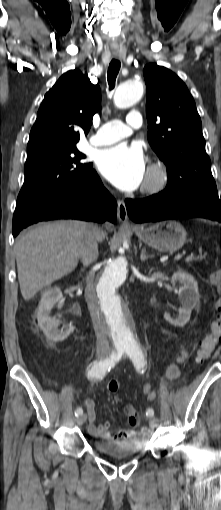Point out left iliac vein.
<instances>
[{"label": "left iliac vein", "mask_w": 221, "mask_h": 510, "mask_svg": "<svg viewBox=\"0 0 221 510\" xmlns=\"http://www.w3.org/2000/svg\"><path fill=\"white\" fill-rule=\"evenodd\" d=\"M149 424L152 428H157L158 427V419L156 417H150Z\"/></svg>", "instance_id": "obj_1"}]
</instances>
